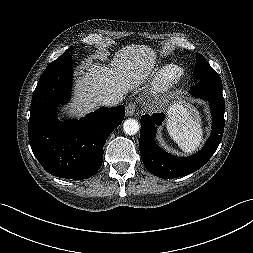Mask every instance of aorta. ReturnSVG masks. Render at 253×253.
Here are the masks:
<instances>
[{
  "label": "aorta",
  "instance_id": "obj_1",
  "mask_svg": "<svg viewBox=\"0 0 253 253\" xmlns=\"http://www.w3.org/2000/svg\"><path fill=\"white\" fill-rule=\"evenodd\" d=\"M140 125L135 119H128L123 124V130L128 135H134L139 131Z\"/></svg>",
  "mask_w": 253,
  "mask_h": 253
}]
</instances>
